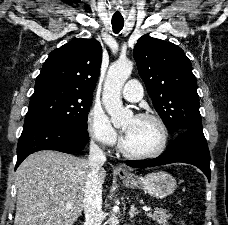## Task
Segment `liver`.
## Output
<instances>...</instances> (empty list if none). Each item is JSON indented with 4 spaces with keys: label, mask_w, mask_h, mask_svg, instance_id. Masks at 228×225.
I'll return each instance as SVG.
<instances>
[{
    "label": "liver",
    "mask_w": 228,
    "mask_h": 225,
    "mask_svg": "<svg viewBox=\"0 0 228 225\" xmlns=\"http://www.w3.org/2000/svg\"><path fill=\"white\" fill-rule=\"evenodd\" d=\"M90 163L58 151H38L15 173L14 225H73L82 215ZM100 169L101 183L105 179Z\"/></svg>",
    "instance_id": "obj_1"
}]
</instances>
